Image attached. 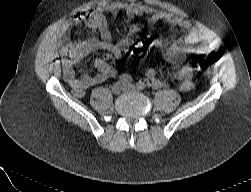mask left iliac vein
<instances>
[{
	"label": "left iliac vein",
	"mask_w": 251,
	"mask_h": 192,
	"mask_svg": "<svg viewBox=\"0 0 251 192\" xmlns=\"http://www.w3.org/2000/svg\"><path fill=\"white\" fill-rule=\"evenodd\" d=\"M124 91H139V88L133 84H123Z\"/></svg>",
	"instance_id": "1"
}]
</instances>
